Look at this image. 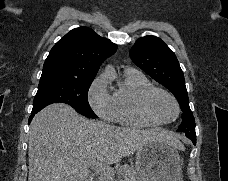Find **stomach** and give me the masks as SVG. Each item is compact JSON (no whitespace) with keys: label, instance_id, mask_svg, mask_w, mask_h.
<instances>
[{"label":"stomach","instance_id":"1","mask_svg":"<svg viewBox=\"0 0 228 181\" xmlns=\"http://www.w3.org/2000/svg\"><path fill=\"white\" fill-rule=\"evenodd\" d=\"M135 169L141 181H183L180 155L163 139L147 141L137 149Z\"/></svg>","mask_w":228,"mask_h":181}]
</instances>
